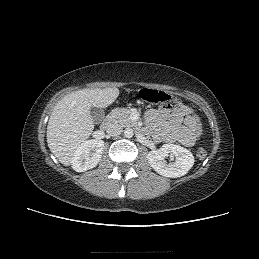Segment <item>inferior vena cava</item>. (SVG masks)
<instances>
[{"label":"inferior vena cava","instance_id":"inferior-vena-cava-1","mask_svg":"<svg viewBox=\"0 0 259 259\" xmlns=\"http://www.w3.org/2000/svg\"><path fill=\"white\" fill-rule=\"evenodd\" d=\"M106 132L110 136H118L122 133V126L116 123H111L107 126Z\"/></svg>","mask_w":259,"mask_h":259}]
</instances>
